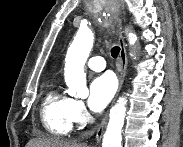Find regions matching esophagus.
<instances>
[{"label": "esophagus", "mask_w": 183, "mask_h": 147, "mask_svg": "<svg viewBox=\"0 0 183 147\" xmlns=\"http://www.w3.org/2000/svg\"><path fill=\"white\" fill-rule=\"evenodd\" d=\"M119 44H120V53H119V87H118V92L119 93L124 78H125V74H126V69H127V53H126V45H125V41H124V37L122 35V32L120 33L119 36ZM107 118L108 115H106L103 120L101 121L97 133H96V141L100 142L103 136V132L106 126V122H107Z\"/></svg>", "instance_id": "34e87169"}]
</instances>
